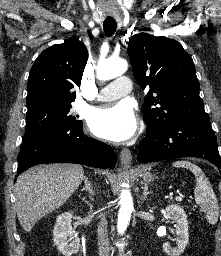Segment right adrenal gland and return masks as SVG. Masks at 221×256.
Listing matches in <instances>:
<instances>
[{
  "label": "right adrenal gland",
  "mask_w": 221,
  "mask_h": 256,
  "mask_svg": "<svg viewBox=\"0 0 221 256\" xmlns=\"http://www.w3.org/2000/svg\"><path fill=\"white\" fill-rule=\"evenodd\" d=\"M83 181H84L85 186L81 189V191L86 190L90 194V197H93L95 195V192L93 190V186H92L91 182L89 181L88 177L84 176Z\"/></svg>",
  "instance_id": "2a0ac1e0"
}]
</instances>
